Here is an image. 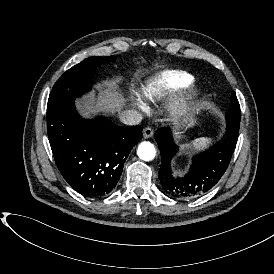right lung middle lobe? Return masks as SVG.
Masks as SVG:
<instances>
[{"label":"right lung middle lobe","instance_id":"dd1d6c3e","mask_svg":"<svg viewBox=\"0 0 274 274\" xmlns=\"http://www.w3.org/2000/svg\"><path fill=\"white\" fill-rule=\"evenodd\" d=\"M114 60V56L90 57L67 70L52 88L47 112L49 113L63 104L74 102L77 97L91 90L95 68Z\"/></svg>","mask_w":274,"mask_h":274}]
</instances>
